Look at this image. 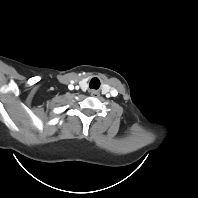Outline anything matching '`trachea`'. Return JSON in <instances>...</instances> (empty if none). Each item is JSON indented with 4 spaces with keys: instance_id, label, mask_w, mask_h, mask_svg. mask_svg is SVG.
<instances>
[{
    "instance_id": "obj_1",
    "label": "trachea",
    "mask_w": 198,
    "mask_h": 198,
    "mask_svg": "<svg viewBox=\"0 0 198 198\" xmlns=\"http://www.w3.org/2000/svg\"><path fill=\"white\" fill-rule=\"evenodd\" d=\"M89 87L91 89H98L100 87V81L98 78H93L91 79L90 83H89Z\"/></svg>"
}]
</instances>
